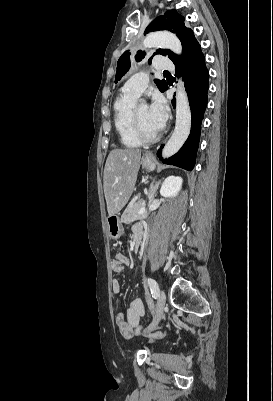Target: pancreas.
I'll return each mask as SVG.
<instances>
[{
	"label": "pancreas",
	"instance_id": "pancreas-1",
	"mask_svg": "<svg viewBox=\"0 0 273 401\" xmlns=\"http://www.w3.org/2000/svg\"><path fill=\"white\" fill-rule=\"evenodd\" d=\"M141 202L142 201H137V203H130V205H128L123 215H121V223L130 225V223H133V221H143V219H147L149 215L147 209L143 215H139V206H141Z\"/></svg>",
	"mask_w": 273,
	"mask_h": 401
}]
</instances>
